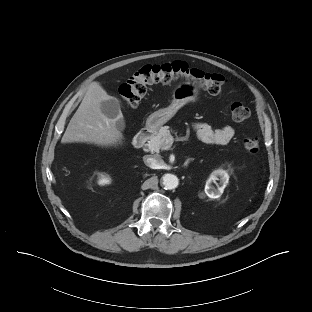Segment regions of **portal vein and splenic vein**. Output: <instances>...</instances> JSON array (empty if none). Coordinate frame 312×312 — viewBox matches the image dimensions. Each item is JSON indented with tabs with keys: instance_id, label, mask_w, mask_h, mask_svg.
<instances>
[{
	"instance_id": "portal-vein-and-splenic-vein-1",
	"label": "portal vein and splenic vein",
	"mask_w": 312,
	"mask_h": 312,
	"mask_svg": "<svg viewBox=\"0 0 312 312\" xmlns=\"http://www.w3.org/2000/svg\"><path fill=\"white\" fill-rule=\"evenodd\" d=\"M170 141H171V143H170V145L173 143V141H172V139H170Z\"/></svg>"
}]
</instances>
